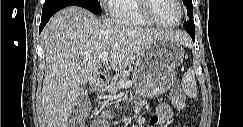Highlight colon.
<instances>
[{
  "instance_id": "colon-1",
  "label": "colon",
  "mask_w": 243,
  "mask_h": 127,
  "mask_svg": "<svg viewBox=\"0 0 243 127\" xmlns=\"http://www.w3.org/2000/svg\"><path fill=\"white\" fill-rule=\"evenodd\" d=\"M171 97L183 100L184 97L182 95L180 87L176 84L171 89ZM88 114V109L86 105H81L77 107L74 111V114L71 119L72 127H85V119Z\"/></svg>"
}]
</instances>
